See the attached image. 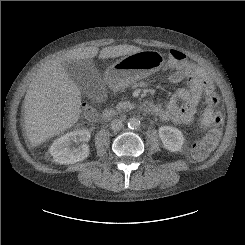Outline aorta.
<instances>
[{"mask_svg":"<svg viewBox=\"0 0 245 245\" xmlns=\"http://www.w3.org/2000/svg\"><path fill=\"white\" fill-rule=\"evenodd\" d=\"M140 126V120L138 118H130L128 120V127L131 129H137Z\"/></svg>","mask_w":245,"mask_h":245,"instance_id":"aorta-1","label":"aorta"}]
</instances>
